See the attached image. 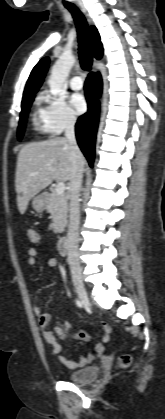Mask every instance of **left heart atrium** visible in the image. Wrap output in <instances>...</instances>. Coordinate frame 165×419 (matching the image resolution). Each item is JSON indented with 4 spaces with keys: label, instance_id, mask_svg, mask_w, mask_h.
<instances>
[{
    "label": "left heart atrium",
    "instance_id": "39dd6f15",
    "mask_svg": "<svg viewBox=\"0 0 165 419\" xmlns=\"http://www.w3.org/2000/svg\"><path fill=\"white\" fill-rule=\"evenodd\" d=\"M71 104L78 114H81L86 110V101L84 97L79 93L73 94L71 96Z\"/></svg>",
    "mask_w": 165,
    "mask_h": 419
}]
</instances>
